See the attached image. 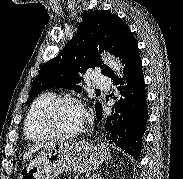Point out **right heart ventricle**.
Wrapping results in <instances>:
<instances>
[{
  "mask_svg": "<svg viewBox=\"0 0 183 179\" xmlns=\"http://www.w3.org/2000/svg\"><path fill=\"white\" fill-rule=\"evenodd\" d=\"M56 97L53 92L39 95L32 103L25 119L24 133L33 142H41L50 138L42 129L40 119L43 110Z\"/></svg>",
  "mask_w": 183,
  "mask_h": 179,
  "instance_id": "right-heart-ventricle-1",
  "label": "right heart ventricle"
}]
</instances>
